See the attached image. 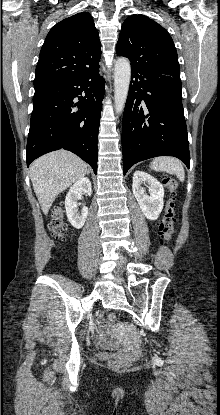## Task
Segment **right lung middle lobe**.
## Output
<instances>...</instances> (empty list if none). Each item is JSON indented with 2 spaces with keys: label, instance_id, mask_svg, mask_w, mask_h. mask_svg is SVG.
I'll use <instances>...</instances> for the list:
<instances>
[{
  "label": "right lung middle lobe",
  "instance_id": "1",
  "mask_svg": "<svg viewBox=\"0 0 220 415\" xmlns=\"http://www.w3.org/2000/svg\"><path fill=\"white\" fill-rule=\"evenodd\" d=\"M61 84H40L34 85L35 94L33 96V101L45 97L47 95L53 94L58 91Z\"/></svg>",
  "mask_w": 220,
  "mask_h": 415
}]
</instances>
